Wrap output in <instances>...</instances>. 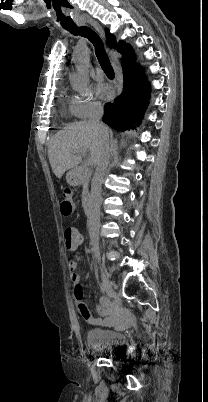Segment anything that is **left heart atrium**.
<instances>
[{"mask_svg":"<svg viewBox=\"0 0 208 402\" xmlns=\"http://www.w3.org/2000/svg\"><path fill=\"white\" fill-rule=\"evenodd\" d=\"M97 92L100 99L106 102L111 101L114 97L113 87L102 79L98 81Z\"/></svg>","mask_w":208,"mask_h":402,"instance_id":"obj_1","label":"left heart atrium"}]
</instances>
